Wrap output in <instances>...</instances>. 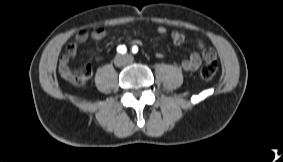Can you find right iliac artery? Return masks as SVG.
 I'll list each match as a JSON object with an SVG mask.
<instances>
[{
	"label": "right iliac artery",
	"instance_id": "82829eb1",
	"mask_svg": "<svg viewBox=\"0 0 283 162\" xmlns=\"http://www.w3.org/2000/svg\"><path fill=\"white\" fill-rule=\"evenodd\" d=\"M117 51L119 53L124 54V53H126L127 49H126V47L124 45H120V46L117 47Z\"/></svg>",
	"mask_w": 283,
	"mask_h": 162
}]
</instances>
